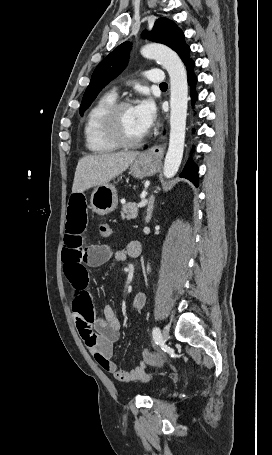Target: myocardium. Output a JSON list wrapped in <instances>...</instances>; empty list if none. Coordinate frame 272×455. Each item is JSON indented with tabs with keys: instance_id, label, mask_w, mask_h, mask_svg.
Listing matches in <instances>:
<instances>
[{
	"instance_id": "1",
	"label": "myocardium",
	"mask_w": 272,
	"mask_h": 455,
	"mask_svg": "<svg viewBox=\"0 0 272 455\" xmlns=\"http://www.w3.org/2000/svg\"><path fill=\"white\" fill-rule=\"evenodd\" d=\"M133 106L129 100H118L115 101L105 112L102 118V129L105 137L118 148H135L141 145L145 139L146 134L134 139H126L120 128V116L122 111Z\"/></svg>"
}]
</instances>
